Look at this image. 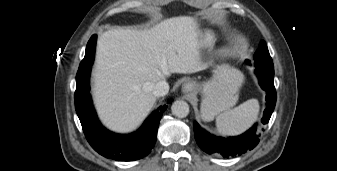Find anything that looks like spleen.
Segmentation results:
<instances>
[{
	"label": "spleen",
	"instance_id": "obj_1",
	"mask_svg": "<svg viewBox=\"0 0 337 171\" xmlns=\"http://www.w3.org/2000/svg\"><path fill=\"white\" fill-rule=\"evenodd\" d=\"M258 113V100H247L216 118L217 131L224 136L241 134L257 120Z\"/></svg>",
	"mask_w": 337,
	"mask_h": 171
}]
</instances>
